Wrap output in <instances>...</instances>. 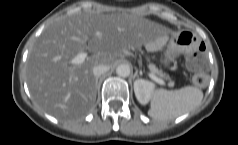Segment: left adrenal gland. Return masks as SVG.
<instances>
[{"instance_id": "left-adrenal-gland-1", "label": "left adrenal gland", "mask_w": 238, "mask_h": 145, "mask_svg": "<svg viewBox=\"0 0 238 145\" xmlns=\"http://www.w3.org/2000/svg\"><path fill=\"white\" fill-rule=\"evenodd\" d=\"M134 76H135V77H138V76H139V75H138V69H136Z\"/></svg>"}]
</instances>
